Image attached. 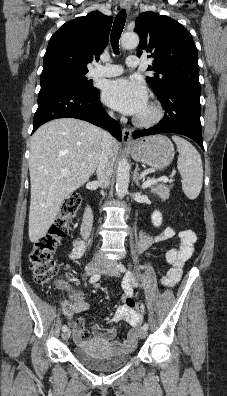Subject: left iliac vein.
<instances>
[{"label":"left iliac vein","instance_id":"left-iliac-vein-1","mask_svg":"<svg viewBox=\"0 0 227 396\" xmlns=\"http://www.w3.org/2000/svg\"><path fill=\"white\" fill-rule=\"evenodd\" d=\"M101 272L115 277L120 276V270L118 269V264L114 261H109L105 263L101 268ZM138 335L141 339L146 338L147 330H145L144 328H140L138 331Z\"/></svg>","mask_w":227,"mask_h":396}]
</instances>
